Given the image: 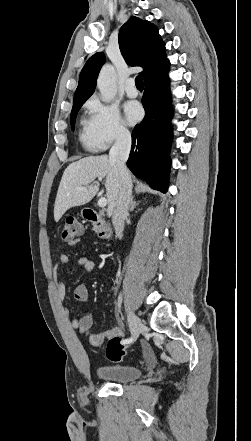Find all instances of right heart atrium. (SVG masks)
<instances>
[{
	"label": "right heart atrium",
	"mask_w": 251,
	"mask_h": 441,
	"mask_svg": "<svg viewBox=\"0 0 251 441\" xmlns=\"http://www.w3.org/2000/svg\"><path fill=\"white\" fill-rule=\"evenodd\" d=\"M88 126L94 148L106 149L112 143L129 137L130 131L116 105L94 97L87 102Z\"/></svg>",
	"instance_id": "d8ad5b80"
}]
</instances>
